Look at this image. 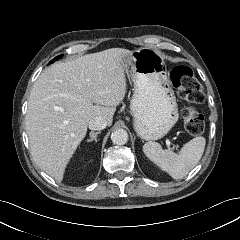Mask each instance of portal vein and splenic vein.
I'll use <instances>...</instances> for the list:
<instances>
[{
  "instance_id": "18ae733b",
  "label": "portal vein and splenic vein",
  "mask_w": 240,
  "mask_h": 240,
  "mask_svg": "<svg viewBox=\"0 0 240 240\" xmlns=\"http://www.w3.org/2000/svg\"><path fill=\"white\" fill-rule=\"evenodd\" d=\"M166 145H167L168 147H170V146L172 145V143L169 141V139H166Z\"/></svg>"
}]
</instances>
